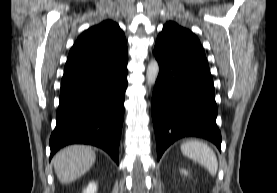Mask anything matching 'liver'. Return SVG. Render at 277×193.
<instances>
[{
  "label": "liver",
  "instance_id": "1",
  "mask_svg": "<svg viewBox=\"0 0 277 193\" xmlns=\"http://www.w3.org/2000/svg\"><path fill=\"white\" fill-rule=\"evenodd\" d=\"M96 154L89 146L72 145L60 150L53 158L54 170L63 184L73 182L94 164Z\"/></svg>",
  "mask_w": 277,
  "mask_h": 193
}]
</instances>
